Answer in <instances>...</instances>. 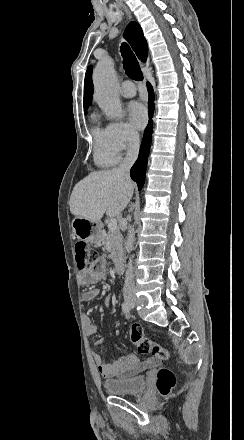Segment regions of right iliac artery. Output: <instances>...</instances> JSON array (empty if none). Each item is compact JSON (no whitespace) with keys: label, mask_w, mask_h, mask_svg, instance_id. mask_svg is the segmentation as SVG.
I'll return each mask as SVG.
<instances>
[{"label":"right iliac artery","mask_w":244,"mask_h":440,"mask_svg":"<svg viewBox=\"0 0 244 440\" xmlns=\"http://www.w3.org/2000/svg\"><path fill=\"white\" fill-rule=\"evenodd\" d=\"M122 310H123V312L124 313H129L130 312V310H131V307H130V304L128 303V302H123V304H122Z\"/></svg>","instance_id":"right-iliac-artery-1"}]
</instances>
